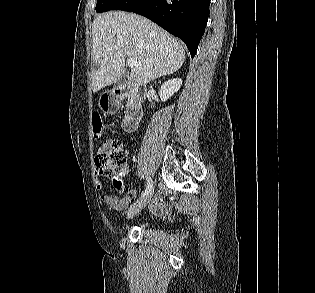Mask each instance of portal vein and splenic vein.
<instances>
[{
    "label": "portal vein and splenic vein",
    "instance_id": "obj_1",
    "mask_svg": "<svg viewBox=\"0 0 315 293\" xmlns=\"http://www.w3.org/2000/svg\"><path fill=\"white\" fill-rule=\"evenodd\" d=\"M127 64L129 67H134L137 65V63L133 59H128Z\"/></svg>",
    "mask_w": 315,
    "mask_h": 293
}]
</instances>
